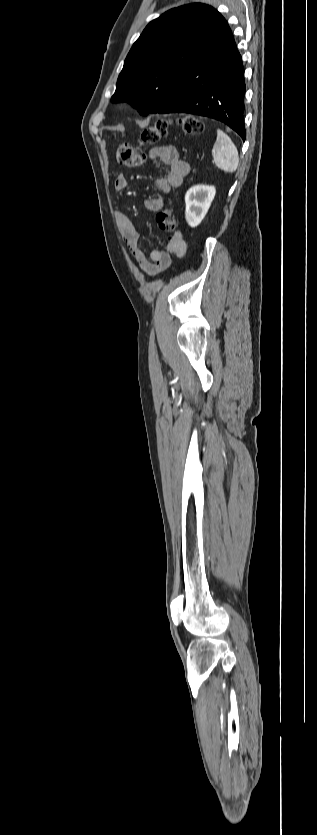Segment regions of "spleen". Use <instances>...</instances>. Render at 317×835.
Returning a JSON list of instances; mask_svg holds the SVG:
<instances>
[{
    "mask_svg": "<svg viewBox=\"0 0 317 835\" xmlns=\"http://www.w3.org/2000/svg\"><path fill=\"white\" fill-rule=\"evenodd\" d=\"M215 166L226 173H233L239 164L238 151L231 138L217 129V139L212 149Z\"/></svg>",
    "mask_w": 317,
    "mask_h": 835,
    "instance_id": "spleen-1",
    "label": "spleen"
}]
</instances>
